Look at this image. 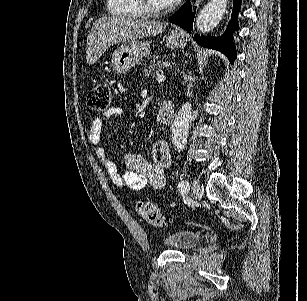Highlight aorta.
I'll use <instances>...</instances> for the list:
<instances>
[{
  "mask_svg": "<svg viewBox=\"0 0 307 301\" xmlns=\"http://www.w3.org/2000/svg\"><path fill=\"white\" fill-rule=\"evenodd\" d=\"M227 6V0H209L202 10H200L196 26L199 32H209L219 24ZM192 118V104L187 100L179 108V112L173 120L170 128L172 132V140L181 148L182 144H186L189 132V126Z\"/></svg>",
  "mask_w": 307,
  "mask_h": 301,
  "instance_id": "1",
  "label": "aorta"
}]
</instances>
